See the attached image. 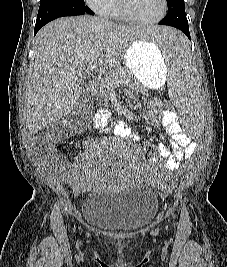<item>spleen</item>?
<instances>
[{"instance_id":"obj_1","label":"spleen","mask_w":227,"mask_h":267,"mask_svg":"<svg viewBox=\"0 0 227 267\" xmlns=\"http://www.w3.org/2000/svg\"><path fill=\"white\" fill-rule=\"evenodd\" d=\"M134 30H146L140 33L138 41L155 43L156 55H164L166 63H170L169 94L172 101L180 110L176 115H203L200 89L194 79L188 58V42L180 29H173L172 25H160V22H148V25H134ZM195 105V106H193ZM185 137H204L205 124L202 116H181Z\"/></svg>"}]
</instances>
